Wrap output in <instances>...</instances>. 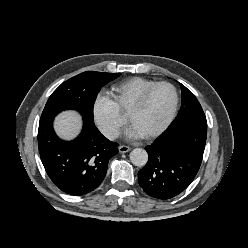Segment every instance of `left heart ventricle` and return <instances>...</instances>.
Here are the masks:
<instances>
[{"label": "left heart ventricle", "instance_id": "obj_1", "mask_svg": "<svg viewBox=\"0 0 248 248\" xmlns=\"http://www.w3.org/2000/svg\"><path fill=\"white\" fill-rule=\"evenodd\" d=\"M173 91L167 86L156 87L144 107L132 116L131 124L143 136L158 129L169 116L173 106Z\"/></svg>", "mask_w": 248, "mask_h": 248}]
</instances>
